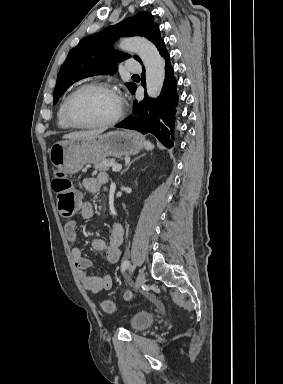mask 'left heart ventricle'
Listing matches in <instances>:
<instances>
[{
    "mask_svg": "<svg viewBox=\"0 0 283 384\" xmlns=\"http://www.w3.org/2000/svg\"><path fill=\"white\" fill-rule=\"evenodd\" d=\"M115 95L104 90H87L73 100L70 115L78 125H91L111 119L117 112Z\"/></svg>",
    "mask_w": 283,
    "mask_h": 384,
    "instance_id": "obj_1",
    "label": "left heart ventricle"
}]
</instances>
